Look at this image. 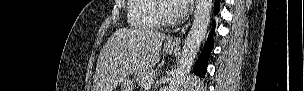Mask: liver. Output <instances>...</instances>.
Masks as SVG:
<instances>
[{"label":"liver","instance_id":"liver-1","mask_svg":"<svg viewBox=\"0 0 304 91\" xmlns=\"http://www.w3.org/2000/svg\"><path fill=\"white\" fill-rule=\"evenodd\" d=\"M166 35L148 29H119L103 46L92 91H114L131 73L154 67Z\"/></svg>","mask_w":304,"mask_h":91}]
</instances>
